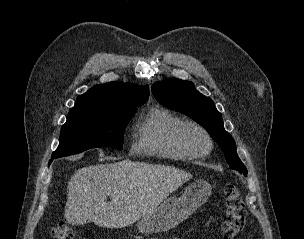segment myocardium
Wrapping results in <instances>:
<instances>
[{
	"label": "myocardium",
	"mask_w": 304,
	"mask_h": 239,
	"mask_svg": "<svg viewBox=\"0 0 304 239\" xmlns=\"http://www.w3.org/2000/svg\"><path fill=\"white\" fill-rule=\"evenodd\" d=\"M199 130L207 140V147L204 150H194L192 149L185 140V132L188 129ZM174 141L178 148L183 151L190 158H202L207 156L213 149V139L209 131L201 124L194 121H183L181 122L174 131L173 134Z\"/></svg>",
	"instance_id": "obj_1"
}]
</instances>
